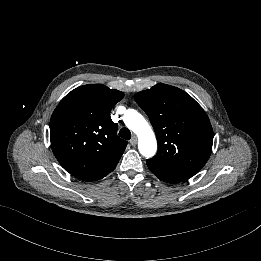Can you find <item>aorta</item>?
I'll return each instance as SVG.
<instances>
[{
    "mask_svg": "<svg viewBox=\"0 0 261 261\" xmlns=\"http://www.w3.org/2000/svg\"><path fill=\"white\" fill-rule=\"evenodd\" d=\"M119 114L123 115L124 123L131 127L134 132L142 139L139 151L146 159L152 158L156 154V144L153 141V132L147 122L137 113L135 109L119 106Z\"/></svg>",
    "mask_w": 261,
    "mask_h": 261,
    "instance_id": "aorta-1",
    "label": "aorta"
}]
</instances>
